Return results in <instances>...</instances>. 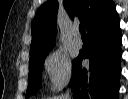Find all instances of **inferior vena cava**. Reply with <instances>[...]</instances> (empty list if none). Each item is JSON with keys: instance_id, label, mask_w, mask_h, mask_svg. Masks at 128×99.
<instances>
[{"instance_id": "obj_1", "label": "inferior vena cava", "mask_w": 128, "mask_h": 99, "mask_svg": "<svg viewBox=\"0 0 128 99\" xmlns=\"http://www.w3.org/2000/svg\"><path fill=\"white\" fill-rule=\"evenodd\" d=\"M63 99H70V94H69V90L66 91Z\"/></svg>"}]
</instances>
